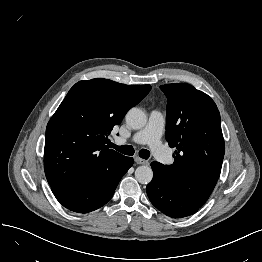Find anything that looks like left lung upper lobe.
I'll use <instances>...</instances> for the list:
<instances>
[{"label": "left lung upper lobe", "instance_id": "5c2ea615", "mask_svg": "<svg viewBox=\"0 0 262 262\" xmlns=\"http://www.w3.org/2000/svg\"><path fill=\"white\" fill-rule=\"evenodd\" d=\"M167 97L166 139L175 147L174 163L164 165L167 181L202 207L219 178L225 144L214 101L185 83L160 86Z\"/></svg>", "mask_w": 262, "mask_h": 262}]
</instances>
